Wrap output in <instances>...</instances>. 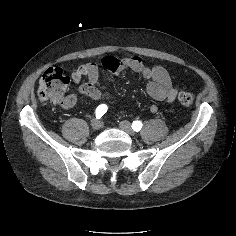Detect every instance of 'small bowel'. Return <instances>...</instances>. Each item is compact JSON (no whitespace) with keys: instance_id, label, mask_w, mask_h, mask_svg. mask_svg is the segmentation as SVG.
Instances as JSON below:
<instances>
[{"instance_id":"1","label":"small bowel","mask_w":236,"mask_h":236,"mask_svg":"<svg viewBox=\"0 0 236 236\" xmlns=\"http://www.w3.org/2000/svg\"><path fill=\"white\" fill-rule=\"evenodd\" d=\"M103 66L114 76L120 75L125 70H132L140 74L147 82L146 90L151 98L156 101L172 103L177 95L178 88L174 84L172 76L162 66L150 67L138 56H128L122 59L115 57H104ZM71 78L78 84V93L90 97L93 100L102 98L101 91L97 88L99 79V67L94 62L78 66L72 73ZM85 79L86 81H83ZM77 101L76 95L65 98L62 105L64 108H71ZM151 113L158 111V106L152 104L149 107Z\"/></svg>"}]
</instances>
